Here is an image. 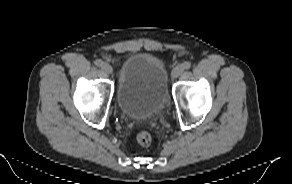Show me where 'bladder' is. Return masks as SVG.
<instances>
[{"label":"bladder","mask_w":292,"mask_h":184,"mask_svg":"<svg viewBox=\"0 0 292 184\" xmlns=\"http://www.w3.org/2000/svg\"><path fill=\"white\" fill-rule=\"evenodd\" d=\"M116 99L127 117H159L169 101L168 73L163 62L146 53L127 57L120 68Z\"/></svg>","instance_id":"bladder-1"}]
</instances>
